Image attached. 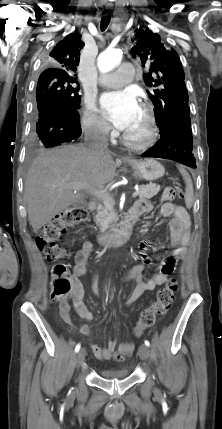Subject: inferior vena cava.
Masks as SVG:
<instances>
[{"mask_svg": "<svg viewBox=\"0 0 222 429\" xmlns=\"http://www.w3.org/2000/svg\"><path fill=\"white\" fill-rule=\"evenodd\" d=\"M110 126L107 122L97 120L91 127L85 129V144L91 151H105L108 148Z\"/></svg>", "mask_w": 222, "mask_h": 429, "instance_id": "inferior-vena-cava-1", "label": "inferior vena cava"}]
</instances>
